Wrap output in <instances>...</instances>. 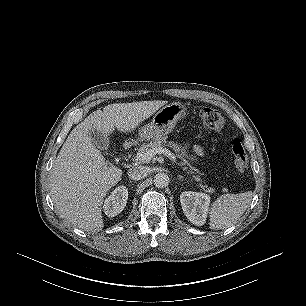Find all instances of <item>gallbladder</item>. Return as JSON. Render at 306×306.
Listing matches in <instances>:
<instances>
[{
	"mask_svg": "<svg viewBox=\"0 0 306 306\" xmlns=\"http://www.w3.org/2000/svg\"><path fill=\"white\" fill-rule=\"evenodd\" d=\"M90 136L96 148H104L107 147L109 144V141L107 140L106 136L99 130H91Z\"/></svg>",
	"mask_w": 306,
	"mask_h": 306,
	"instance_id": "gallbladder-1",
	"label": "gallbladder"
}]
</instances>
